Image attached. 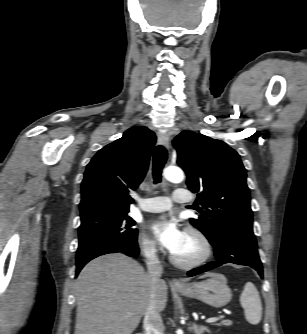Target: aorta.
Returning a JSON list of instances; mask_svg holds the SVG:
<instances>
[{
	"label": "aorta",
	"instance_id": "762f6f07",
	"mask_svg": "<svg viewBox=\"0 0 307 334\" xmlns=\"http://www.w3.org/2000/svg\"><path fill=\"white\" fill-rule=\"evenodd\" d=\"M163 174L168 181L173 183H180L184 179L183 171L178 167H167ZM176 333L182 334V331L177 330Z\"/></svg>",
	"mask_w": 307,
	"mask_h": 334
}]
</instances>
